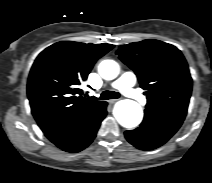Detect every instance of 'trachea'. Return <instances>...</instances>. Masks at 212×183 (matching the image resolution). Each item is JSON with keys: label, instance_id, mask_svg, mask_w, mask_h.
I'll use <instances>...</instances> for the list:
<instances>
[{"label": "trachea", "instance_id": "3493384b", "mask_svg": "<svg viewBox=\"0 0 212 183\" xmlns=\"http://www.w3.org/2000/svg\"><path fill=\"white\" fill-rule=\"evenodd\" d=\"M120 97V94L114 91H104L102 92L100 99L101 100H108V99H117Z\"/></svg>", "mask_w": 212, "mask_h": 183}]
</instances>
